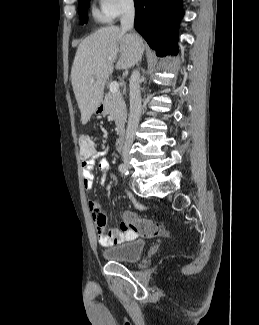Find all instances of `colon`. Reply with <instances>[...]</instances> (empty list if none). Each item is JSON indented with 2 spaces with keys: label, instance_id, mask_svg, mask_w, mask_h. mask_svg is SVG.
<instances>
[{
  "label": "colon",
  "instance_id": "obj_1",
  "mask_svg": "<svg viewBox=\"0 0 259 325\" xmlns=\"http://www.w3.org/2000/svg\"><path fill=\"white\" fill-rule=\"evenodd\" d=\"M78 149L80 157L83 160L89 159L95 152V145L89 135H81L78 139ZM125 225L146 238H154L165 236V228L158 222L152 219L140 218L132 212H126L123 217Z\"/></svg>",
  "mask_w": 259,
  "mask_h": 325
}]
</instances>
